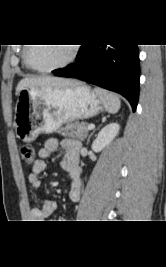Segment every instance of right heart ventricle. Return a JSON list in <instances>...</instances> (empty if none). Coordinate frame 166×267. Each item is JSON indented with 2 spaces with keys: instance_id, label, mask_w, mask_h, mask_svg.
Listing matches in <instances>:
<instances>
[{
  "instance_id": "obj_1",
  "label": "right heart ventricle",
  "mask_w": 166,
  "mask_h": 267,
  "mask_svg": "<svg viewBox=\"0 0 166 267\" xmlns=\"http://www.w3.org/2000/svg\"><path fill=\"white\" fill-rule=\"evenodd\" d=\"M25 66H26L27 69H30L26 64H25Z\"/></svg>"
}]
</instances>
